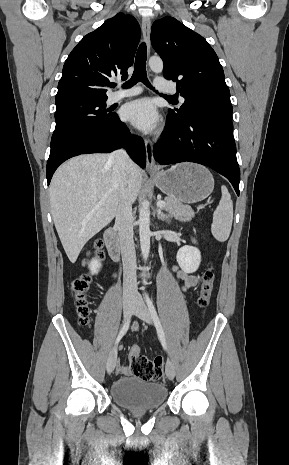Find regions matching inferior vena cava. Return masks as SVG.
<instances>
[{
  "instance_id": "obj_1",
  "label": "inferior vena cava",
  "mask_w": 289,
  "mask_h": 465,
  "mask_svg": "<svg viewBox=\"0 0 289 465\" xmlns=\"http://www.w3.org/2000/svg\"><path fill=\"white\" fill-rule=\"evenodd\" d=\"M108 161L113 165L115 172L123 179L122 192L125 194V178L127 166L130 162L129 156L124 149H118L109 155ZM132 222V204L126 197H123L117 209L115 226L118 230L121 245L124 301L134 299L138 294L136 277L137 264Z\"/></svg>"
}]
</instances>
